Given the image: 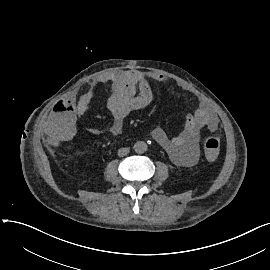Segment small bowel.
I'll list each match as a JSON object with an SVG mask.
<instances>
[{"instance_id":"obj_1","label":"small bowel","mask_w":270,"mask_h":270,"mask_svg":"<svg viewBox=\"0 0 270 270\" xmlns=\"http://www.w3.org/2000/svg\"><path fill=\"white\" fill-rule=\"evenodd\" d=\"M167 78L140 70H119L99 76L89 83L88 89L77 102L71 97L59 98L53 105L52 113L45 130L49 137L59 140L71 138L77 128V116H82L93 102L98 86L109 84L111 93L107 106L113 121L107 129L112 137H118L124 128L126 117L133 111L148 106L154 97L152 82H166ZM203 129L217 132L218 120L205 102L199 100L198 107L186 117L183 130L170 137L165 130L157 127L153 130L154 140L167 152L177 165H194L199 158V133ZM93 135L102 134V130L91 127Z\"/></svg>"}]
</instances>
